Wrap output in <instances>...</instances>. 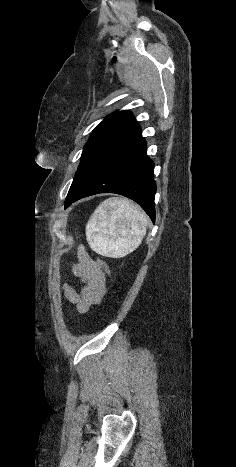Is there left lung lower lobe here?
<instances>
[{"mask_svg":"<svg viewBox=\"0 0 236 467\" xmlns=\"http://www.w3.org/2000/svg\"><path fill=\"white\" fill-rule=\"evenodd\" d=\"M154 162L146 154V141L138 124L122 134L104 153L78 191L65 201L71 203L99 193H116L137 202L155 221Z\"/></svg>","mask_w":236,"mask_h":467,"instance_id":"obj_1","label":"left lung lower lobe"}]
</instances>
